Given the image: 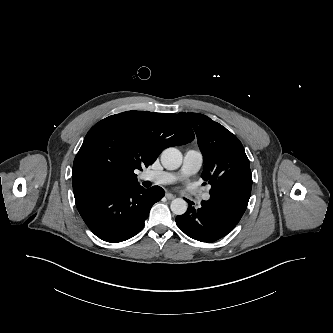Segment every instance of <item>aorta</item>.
I'll use <instances>...</instances> for the list:
<instances>
[{"instance_id":"1","label":"aorta","mask_w":333,"mask_h":333,"mask_svg":"<svg viewBox=\"0 0 333 333\" xmlns=\"http://www.w3.org/2000/svg\"><path fill=\"white\" fill-rule=\"evenodd\" d=\"M161 163L165 169L175 170L182 164V154L178 149L169 147L162 152ZM170 208L175 215H183L187 210V202L176 198L171 202Z\"/></svg>"}]
</instances>
